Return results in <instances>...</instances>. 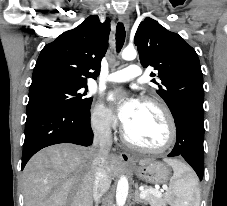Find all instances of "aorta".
Segmentation results:
<instances>
[{"instance_id":"aorta-1","label":"aorta","mask_w":227,"mask_h":206,"mask_svg":"<svg viewBox=\"0 0 227 206\" xmlns=\"http://www.w3.org/2000/svg\"><path fill=\"white\" fill-rule=\"evenodd\" d=\"M122 59L126 61L134 60L137 56V52L134 48H125L121 53ZM128 180L125 176H122L117 184L116 190V204L117 206H124L128 195Z\"/></svg>"}]
</instances>
